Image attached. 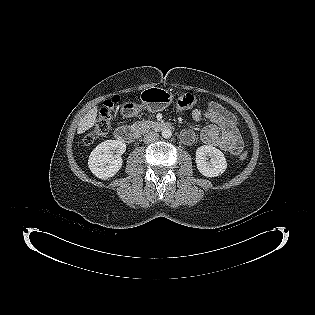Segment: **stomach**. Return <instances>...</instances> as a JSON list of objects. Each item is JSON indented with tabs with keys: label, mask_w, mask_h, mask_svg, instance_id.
Wrapping results in <instances>:
<instances>
[{
	"label": "stomach",
	"mask_w": 315,
	"mask_h": 315,
	"mask_svg": "<svg viewBox=\"0 0 315 315\" xmlns=\"http://www.w3.org/2000/svg\"><path fill=\"white\" fill-rule=\"evenodd\" d=\"M142 105L151 112H158L168 107L173 101V94L165 89L150 88L146 89L141 94ZM124 108L131 112H136L139 109L135 103L127 102Z\"/></svg>",
	"instance_id": "1"
}]
</instances>
